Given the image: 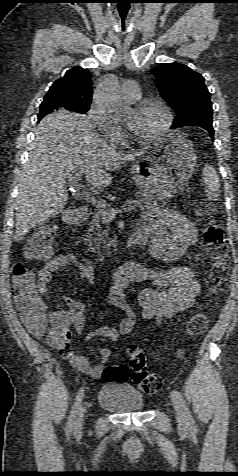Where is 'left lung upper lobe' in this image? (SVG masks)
Segmentation results:
<instances>
[{
	"instance_id": "5c2ea615",
	"label": "left lung upper lobe",
	"mask_w": 238,
	"mask_h": 476,
	"mask_svg": "<svg viewBox=\"0 0 238 476\" xmlns=\"http://www.w3.org/2000/svg\"><path fill=\"white\" fill-rule=\"evenodd\" d=\"M161 97L173 108L171 128L213 127V109L204 78L180 63H162L151 70Z\"/></svg>"
}]
</instances>
